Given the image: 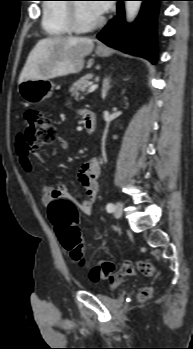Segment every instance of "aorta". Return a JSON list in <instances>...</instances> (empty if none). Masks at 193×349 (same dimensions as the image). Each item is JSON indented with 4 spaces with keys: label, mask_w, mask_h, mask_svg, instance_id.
Segmentation results:
<instances>
[{
    "label": "aorta",
    "mask_w": 193,
    "mask_h": 349,
    "mask_svg": "<svg viewBox=\"0 0 193 349\" xmlns=\"http://www.w3.org/2000/svg\"><path fill=\"white\" fill-rule=\"evenodd\" d=\"M142 2L141 1H126L125 2V11H126V20L128 23H131L136 18Z\"/></svg>",
    "instance_id": "1"
}]
</instances>
